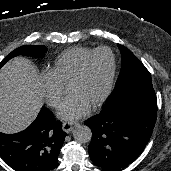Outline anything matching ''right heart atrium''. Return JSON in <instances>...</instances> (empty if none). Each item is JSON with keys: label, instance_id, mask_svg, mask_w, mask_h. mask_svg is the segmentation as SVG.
<instances>
[{"label": "right heart atrium", "instance_id": "1", "mask_svg": "<svg viewBox=\"0 0 171 171\" xmlns=\"http://www.w3.org/2000/svg\"><path fill=\"white\" fill-rule=\"evenodd\" d=\"M40 81L46 102L52 107H57L64 91V85L50 71L43 72Z\"/></svg>", "mask_w": 171, "mask_h": 171}]
</instances>
